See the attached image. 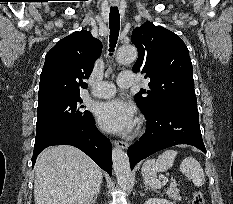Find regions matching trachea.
I'll list each match as a JSON object with an SVG mask.
<instances>
[{
  "label": "trachea",
  "instance_id": "1",
  "mask_svg": "<svg viewBox=\"0 0 233 204\" xmlns=\"http://www.w3.org/2000/svg\"><path fill=\"white\" fill-rule=\"evenodd\" d=\"M109 26H110V52L114 51V48L117 43V39L119 36L120 30V15L117 7L110 8V16H109Z\"/></svg>",
  "mask_w": 233,
  "mask_h": 204
}]
</instances>
